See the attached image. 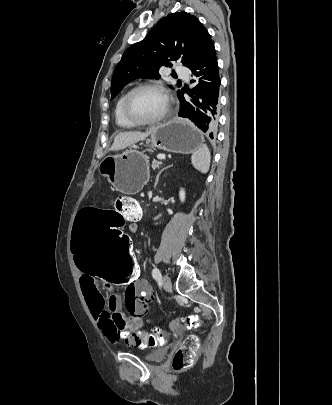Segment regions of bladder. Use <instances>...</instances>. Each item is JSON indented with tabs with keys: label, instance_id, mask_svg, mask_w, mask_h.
<instances>
[{
	"label": "bladder",
	"instance_id": "1",
	"mask_svg": "<svg viewBox=\"0 0 332 405\" xmlns=\"http://www.w3.org/2000/svg\"><path fill=\"white\" fill-rule=\"evenodd\" d=\"M168 352L167 346L159 347L151 352L145 353L142 355V358L148 362H159L162 361Z\"/></svg>",
	"mask_w": 332,
	"mask_h": 405
}]
</instances>
